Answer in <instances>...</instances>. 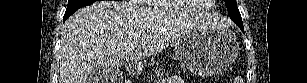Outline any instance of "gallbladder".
I'll return each mask as SVG.
<instances>
[{
    "mask_svg": "<svg viewBox=\"0 0 307 83\" xmlns=\"http://www.w3.org/2000/svg\"><path fill=\"white\" fill-rule=\"evenodd\" d=\"M122 71L120 69L94 67L87 76L88 83H120Z\"/></svg>",
    "mask_w": 307,
    "mask_h": 83,
    "instance_id": "gallbladder-1",
    "label": "gallbladder"
}]
</instances>
